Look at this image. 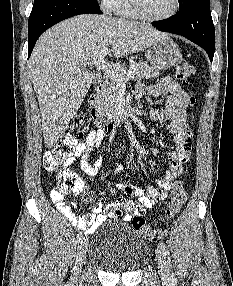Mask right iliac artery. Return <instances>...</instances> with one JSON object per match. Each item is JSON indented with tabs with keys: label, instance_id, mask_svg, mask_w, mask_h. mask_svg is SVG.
Masks as SVG:
<instances>
[{
	"label": "right iliac artery",
	"instance_id": "right-iliac-artery-1",
	"mask_svg": "<svg viewBox=\"0 0 233 286\" xmlns=\"http://www.w3.org/2000/svg\"><path fill=\"white\" fill-rule=\"evenodd\" d=\"M81 239H82V232H79L77 234L76 239H75V243L78 244L81 241Z\"/></svg>",
	"mask_w": 233,
	"mask_h": 286
}]
</instances>
